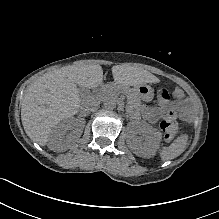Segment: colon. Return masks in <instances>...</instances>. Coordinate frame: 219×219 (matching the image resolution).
<instances>
[{"label": "colon", "instance_id": "5ec220e1", "mask_svg": "<svg viewBox=\"0 0 219 219\" xmlns=\"http://www.w3.org/2000/svg\"><path fill=\"white\" fill-rule=\"evenodd\" d=\"M175 98L185 97V93L181 87H176L172 93ZM160 128L164 132L165 139L171 141L178 132V122L176 114L173 111L166 112L161 119Z\"/></svg>", "mask_w": 219, "mask_h": 219}]
</instances>
